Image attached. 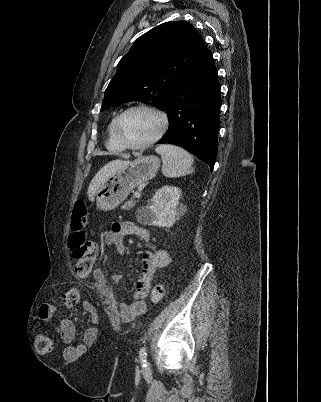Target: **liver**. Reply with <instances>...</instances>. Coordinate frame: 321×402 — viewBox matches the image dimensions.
Segmentation results:
<instances>
[{
  "instance_id": "liver-1",
  "label": "liver",
  "mask_w": 321,
  "mask_h": 402,
  "mask_svg": "<svg viewBox=\"0 0 321 402\" xmlns=\"http://www.w3.org/2000/svg\"><path fill=\"white\" fill-rule=\"evenodd\" d=\"M130 161H124L121 159L112 160L106 165H104L94 176L91 180L89 187H88V196L90 200L94 199V195L98 188L116 171L120 170L121 168L127 166Z\"/></svg>"
}]
</instances>
